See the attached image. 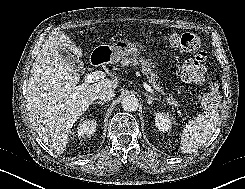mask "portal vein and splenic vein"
<instances>
[{
    "instance_id": "obj_1",
    "label": "portal vein and splenic vein",
    "mask_w": 245,
    "mask_h": 189,
    "mask_svg": "<svg viewBox=\"0 0 245 189\" xmlns=\"http://www.w3.org/2000/svg\"><path fill=\"white\" fill-rule=\"evenodd\" d=\"M106 77V73L104 71H95V72H91L89 74H87L85 76V83H83L81 86H79V89H82L84 87V85L86 84H90V83H93V82H97L101 79H104ZM144 88L154 94V90L146 83H144ZM175 106H177L176 103H173Z\"/></svg>"
}]
</instances>
